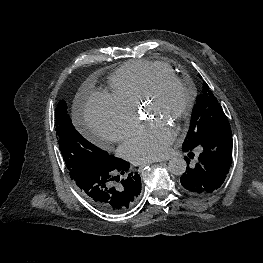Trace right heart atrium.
<instances>
[{"label":"right heart atrium","mask_w":263,"mask_h":263,"mask_svg":"<svg viewBox=\"0 0 263 263\" xmlns=\"http://www.w3.org/2000/svg\"><path fill=\"white\" fill-rule=\"evenodd\" d=\"M84 121L101 146L124 139L137 121L135 110L120 103L107 92L90 96Z\"/></svg>","instance_id":"right-heart-atrium-1"}]
</instances>
